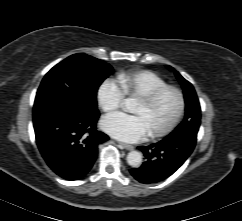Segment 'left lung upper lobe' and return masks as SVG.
<instances>
[{
    "label": "left lung upper lobe",
    "mask_w": 242,
    "mask_h": 221,
    "mask_svg": "<svg viewBox=\"0 0 242 221\" xmlns=\"http://www.w3.org/2000/svg\"><path fill=\"white\" fill-rule=\"evenodd\" d=\"M169 69H172L168 66ZM177 79L180 81L184 89V97L186 103V114L180 125L169 135H197L200 127L201 109L196 92L187 80H185L177 71H175Z\"/></svg>",
    "instance_id": "left-lung-upper-lobe-1"
}]
</instances>
